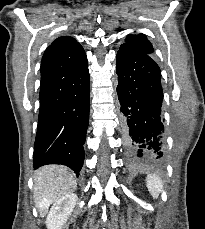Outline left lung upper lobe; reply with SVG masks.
Masks as SVG:
<instances>
[{
  "label": "left lung upper lobe",
  "mask_w": 205,
  "mask_h": 229,
  "mask_svg": "<svg viewBox=\"0 0 205 229\" xmlns=\"http://www.w3.org/2000/svg\"><path fill=\"white\" fill-rule=\"evenodd\" d=\"M131 45L147 54L153 53V47L150 41L147 39V37L144 34H139L137 36L135 35H128L125 39V43Z\"/></svg>",
  "instance_id": "1"
}]
</instances>
